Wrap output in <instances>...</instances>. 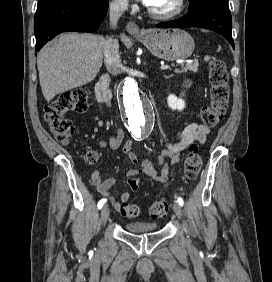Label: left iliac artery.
Masks as SVG:
<instances>
[{"instance_id": "44dca946", "label": "left iliac artery", "mask_w": 272, "mask_h": 282, "mask_svg": "<svg viewBox=\"0 0 272 282\" xmlns=\"http://www.w3.org/2000/svg\"><path fill=\"white\" fill-rule=\"evenodd\" d=\"M178 203H179L180 206H183V204H184L183 199L179 197L178 198Z\"/></svg>"}]
</instances>
